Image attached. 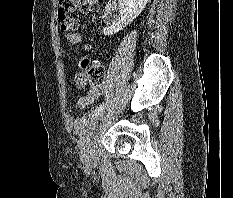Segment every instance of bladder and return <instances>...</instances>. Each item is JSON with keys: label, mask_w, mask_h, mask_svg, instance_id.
I'll return each instance as SVG.
<instances>
[{"label": "bladder", "mask_w": 233, "mask_h": 198, "mask_svg": "<svg viewBox=\"0 0 233 198\" xmlns=\"http://www.w3.org/2000/svg\"><path fill=\"white\" fill-rule=\"evenodd\" d=\"M99 117L89 116L76 121L75 134L80 145L84 148L92 147L100 128Z\"/></svg>", "instance_id": "bladder-1"}]
</instances>
